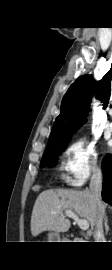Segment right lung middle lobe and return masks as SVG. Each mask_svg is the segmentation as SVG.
<instances>
[{"mask_svg": "<svg viewBox=\"0 0 112 270\" xmlns=\"http://www.w3.org/2000/svg\"><path fill=\"white\" fill-rule=\"evenodd\" d=\"M69 141L56 143V144H49L45 150V153L41 160V166L45 167H53L56 165V158L58 155L64 150L67 146Z\"/></svg>", "mask_w": 112, "mask_h": 270, "instance_id": "dd1d6c3e", "label": "right lung middle lobe"}]
</instances>
